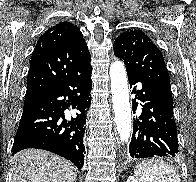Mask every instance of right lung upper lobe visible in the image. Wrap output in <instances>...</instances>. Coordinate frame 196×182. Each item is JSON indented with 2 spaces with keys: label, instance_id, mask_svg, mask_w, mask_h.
I'll return each mask as SVG.
<instances>
[{
  "label": "right lung upper lobe",
  "instance_id": "right-lung-upper-lobe-1",
  "mask_svg": "<svg viewBox=\"0 0 196 182\" xmlns=\"http://www.w3.org/2000/svg\"><path fill=\"white\" fill-rule=\"evenodd\" d=\"M90 60L76 25L60 22L46 30L32 53L24 107Z\"/></svg>",
  "mask_w": 196,
  "mask_h": 182
}]
</instances>
